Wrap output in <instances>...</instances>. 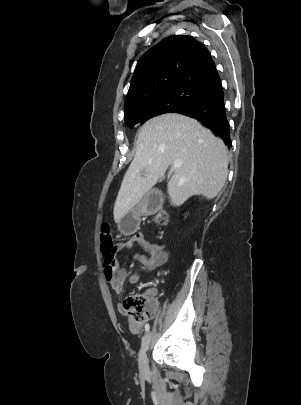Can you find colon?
Here are the masks:
<instances>
[{"label":"colon","mask_w":301,"mask_h":405,"mask_svg":"<svg viewBox=\"0 0 301 405\" xmlns=\"http://www.w3.org/2000/svg\"><path fill=\"white\" fill-rule=\"evenodd\" d=\"M168 222V215L161 211L155 213L153 223L157 226H165ZM101 251L104 256V264H112L115 246L111 234L110 227L104 223L101 227L100 233ZM123 310L128 317L129 327L133 332H138L143 326V323L152 318L156 312V302L149 296L131 295L128 296L123 302Z\"/></svg>","instance_id":"1"}]
</instances>
